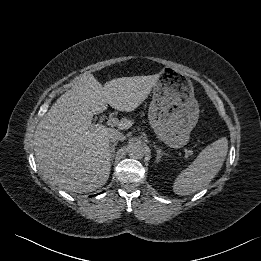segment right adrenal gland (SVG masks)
Wrapping results in <instances>:
<instances>
[{
  "instance_id": "obj_1",
  "label": "right adrenal gland",
  "mask_w": 261,
  "mask_h": 261,
  "mask_svg": "<svg viewBox=\"0 0 261 261\" xmlns=\"http://www.w3.org/2000/svg\"><path fill=\"white\" fill-rule=\"evenodd\" d=\"M117 146V142H114L111 146H110V156H111V162L114 159V154H115V147Z\"/></svg>"
}]
</instances>
